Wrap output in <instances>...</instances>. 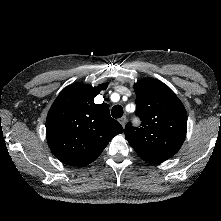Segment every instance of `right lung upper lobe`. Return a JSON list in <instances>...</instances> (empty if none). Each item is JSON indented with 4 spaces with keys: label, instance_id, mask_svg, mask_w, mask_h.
<instances>
[{
    "label": "right lung upper lobe",
    "instance_id": "right-lung-upper-lobe-1",
    "mask_svg": "<svg viewBox=\"0 0 221 221\" xmlns=\"http://www.w3.org/2000/svg\"><path fill=\"white\" fill-rule=\"evenodd\" d=\"M107 83L92 87L73 84L52 104L46 119V137L52 153L71 166H86L102 153L111 139L123 132L110 116L109 105L95 104L94 97Z\"/></svg>",
    "mask_w": 221,
    "mask_h": 221
}]
</instances>
